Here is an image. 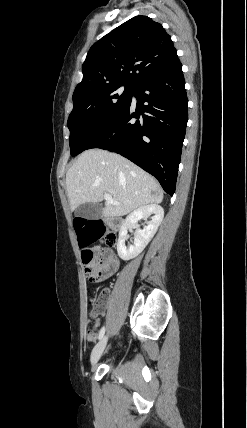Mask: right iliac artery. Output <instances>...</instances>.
<instances>
[{"label":"right iliac artery","mask_w":247,"mask_h":428,"mask_svg":"<svg viewBox=\"0 0 247 428\" xmlns=\"http://www.w3.org/2000/svg\"><path fill=\"white\" fill-rule=\"evenodd\" d=\"M104 333H105V327L103 326L102 328H101V330H100V333H99V339H101L103 336H104Z\"/></svg>","instance_id":"1"}]
</instances>
